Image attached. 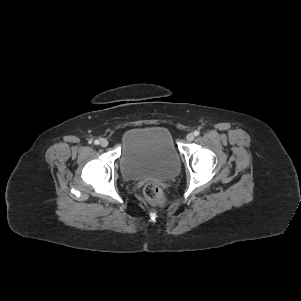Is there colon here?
Here are the masks:
<instances>
[{"instance_id":"1","label":"colon","mask_w":301,"mask_h":301,"mask_svg":"<svg viewBox=\"0 0 301 301\" xmlns=\"http://www.w3.org/2000/svg\"><path fill=\"white\" fill-rule=\"evenodd\" d=\"M143 194L152 204L162 206L166 203V195L163 189L154 182H148L144 185Z\"/></svg>"}]
</instances>
